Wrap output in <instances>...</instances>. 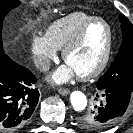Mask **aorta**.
Wrapping results in <instances>:
<instances>
[{
  "label": "aorta",
  "mask_w": 133,
  "mask_h": 133,
  "mask_svg": "<svg viewBox=\"0 0 133 133\" xmlns=\"http://www.w3.org/2000/svg\"><path fill=\"white\" fill-rule=\"evenodd\" d=\"M71 105L75 111H83L87 106V98L81 91H73L70 96Z\"/></svg>",
  "instance_id": "aorta-1"
}]
</instances>
